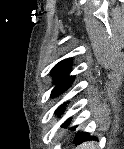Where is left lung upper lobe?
Returning a JSON list of instances; mask_svg holds the SVG:
<instances>
[{
    "label": "left lung upper lobe",
    "instance_id": "1",
    "mask_svg": "<svg viewBox=\"0 0 124 149\" xmlns=\"http://www.w3.org/2000/svg\"><path fill=\"white\" fill-rule=\"evenodd\" d=\"M70 64H71V59H65L60 61L58 64H56L51 70V75L53 76L54 83L56 84L54 89L52 90V94H51L52 97L63 93L72 84L74 80V76L69 75L71 70ZM66 103H69V102H66ZM66 103L62 104L55 111V114L57 115L62 114ZM68 123L69 121H67V124ZM77 127L78 126H75L71 128V130L75 131Z\"/></svg>",
    "mask_w": 124,
    "mask_h": 149
}]
</instances>
